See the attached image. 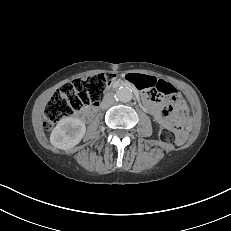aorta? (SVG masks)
Returning <instances> with one entry per match:
<instances>
[{"instance_id":"obj_1","label":"aorta","mask_w":231,"mask_h":231,"mask_svg":"<svg viewBox=\"0 0 231 231\" xmlns=\"http://www.w3.org/2000/svg\"><path fill=\"white\" fill-rule=\"evenodd\" d=\"M116 98L121 102L127 103L132 100L133 92L127 87H121L116 92Z\"/></svg>"}]
</instances>
